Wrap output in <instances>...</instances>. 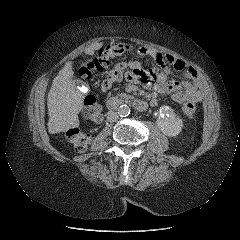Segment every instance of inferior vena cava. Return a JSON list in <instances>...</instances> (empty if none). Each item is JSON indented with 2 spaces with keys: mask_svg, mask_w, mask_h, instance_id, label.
<instances>
[{
  "mask_svg": "<svg viewBox=\"0 0 240 240\" xmlns=\"http://www.w3.org/2000/svg\"><path fill=\"white\" fill-rule=\"evenodd\" d=\"M119 119V114L116 111H109L107 113V120L109 122H116Z\"/></svg>",
  "mask_w": 240,
  "mask_h": 240,
  "instance_id": "602c4592",
  "label": "inferior vena cava"
}]
</instances>
